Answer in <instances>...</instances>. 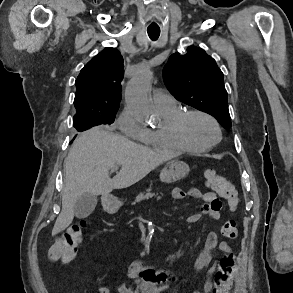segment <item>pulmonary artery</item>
Here are the masks:
<instances>
[{
	"mask_svg": "<svg viewBox=\"0 0 293 293\" xmlns=\"http://www.w3.org/2000/svg\"><path fill=\"white\" fill-rule=\"evenodd\" d=\"M153 102L157 108H165L176 104L175 98L164 90H155Z\"/></svg>",
	"mask_w": 293,
	"mask_h": 293,
	"instance_id": "1",
	"label": "pulmonary artery"
}]
</instances>
